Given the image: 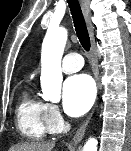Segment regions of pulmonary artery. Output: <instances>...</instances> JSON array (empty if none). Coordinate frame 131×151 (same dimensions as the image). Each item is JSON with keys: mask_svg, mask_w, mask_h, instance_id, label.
Wrapping results in <instances>:
<instances>
[{"mask_svg": "<svg viewBox=\"0 0 131 151\" xmlns=\"http://www.w3.org/2000/svg\"><path fill=\"white\" fill-rule=\"evenodd\" d=\"M83 66V58L80 54L71 52L64 56L62 61V70L65 73H74Z\"/></svg>", "mask_w": 131, "mask_h": 151, "instance_id": "pulmonary-artery-1", "label": "pulmonary artery"}]
</instances>
